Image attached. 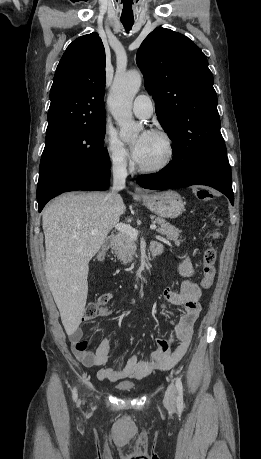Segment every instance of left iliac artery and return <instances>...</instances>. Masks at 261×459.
<instances>
[{
  "mask_svg": "<svg viewBox=\"0 0 261 459\" xmlns=\"http://www.w3.org/2000/svg\"><path fill=\"white\" fill-rule=\"evenodd\" d=\"M176 400L178 408H183V385L179 377L176 378Z\"/></svg>",
  "mask_w": 261,
  "mask_h": 459,
  "instance_id": "left-iliac-artery-1",
  "label": "left iliac artery"
}]
</instances>
